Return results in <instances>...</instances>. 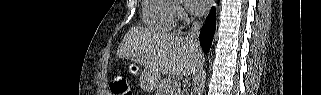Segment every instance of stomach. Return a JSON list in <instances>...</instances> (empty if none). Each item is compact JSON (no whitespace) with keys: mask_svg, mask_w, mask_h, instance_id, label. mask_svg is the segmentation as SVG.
I'll list each match as a JSON object with an SVG mask.
<instances>
[{"mask_svg":"<svg viewBox=\"0 0 321 95\" xmlns=\"http://www.w3.org/2000/svg\"><path fill=\"white\" fill-rule=\"evenodd\" d=\"M128 72L133 76H139V84L144 90H153L158 83V77L141 66L139 63L133 61L128 64Z\"/></svg>","mask_w":321,"mask_h":95,"instance_id":"obj_1","label":"stomach"}]
</instances>
